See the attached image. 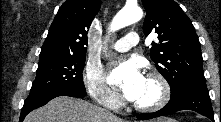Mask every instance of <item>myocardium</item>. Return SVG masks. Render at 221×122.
<instances>
[{
    "mask_svg": "<svg viewBox=\"0 0 221 122\" xmlns=\"http://www.w3.org/2000/svg\"><path fill=\"white\" fill-rule=\"evenodd\" d=\"M146 78L151 79L158 84L160 90L159 97L156 101L150 104H138L132 102V107L140 112H154L163 108L169 102L171 97V87L165 76L158 71L147 73Z\"/></svg>",
    "mask_w": 221,
    "mask_h": 122,
    "instance_id": "f54148a6",
    "label": "myocardium"
}]
</instances>
